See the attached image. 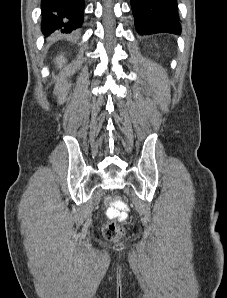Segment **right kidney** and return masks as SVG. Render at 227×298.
Segmentation results:
<instances>
[{"mask_svg":"<svg viewBox=\"0 0 227 298\" xmlns=\"http://www.w3.org/2000/svg\"><path fill=\"white\" fill-rule=\"evenodd\" d=\"M56 62L58 63L59 66H62L63 63H65L64 57L60 56L56 59Z\"/></svg>","mask_w":227,"mask_h":298,"instance_id":"right-kidney-1","label":"right kidney"}]
</instances>
